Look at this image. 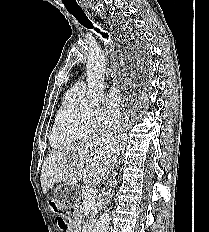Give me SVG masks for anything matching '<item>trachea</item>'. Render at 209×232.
Here are the masks:
<instances>
[{
  "label": "trachea",
  "instance_id": "trachea-1",
  "mask_svg": "<svg viewBox=\"0 0 209 232\" xmlns=\"http://www.w3.org/2000/svg\"><path fill=\"white\" fill-rule=\"evenodd\" d=\"M70 14H72L77 20L78 22L83 25L84 27L88 28V29H95L96 32H100L99 29L94 28L92 22L88 19V17L86 16V14L83 11H74V12H70ZM102 37L107 38L108 39V34L107 33H101Z\"/></svg>",
  "mask_w": 209,
  "mask_h": 232
}]
</instances>
